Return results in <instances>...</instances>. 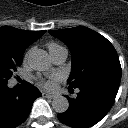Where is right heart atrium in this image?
<instances>
[{
  "label": "right heart atrium",
  "mask_w": 128,
  "mask_h": 128,
  "mask_svg": "<svg viewBox=\"0 0 128 128\" xmlns=\"http://www.w3.org/2000/svg\"><path fill=\"white\" fill-rule=\"evenodd\" d=\"M30 52H31V50H29V51L26 53V55H25V59H27V58H28V56H29Z\"/></svg>",
  "instance_id": "obj_1"
}]
</instances>
